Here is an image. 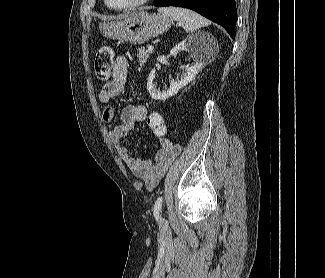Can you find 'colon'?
Here are the masks:
<instances>
[{"label": "colon", "mask_w": 325, "mask_h": 278, "mask_svg": "<svg viewBox=\"0 0 325 278\" xmlns=\"http://www.w3.org/2000/svg\"><path fill=\"white\" fill-rule=\"evenodd\" d=\"M113 51L110 47H101L95 56L94 73L99 81L107 80L112 72ZM147 125L152 133L157 137L166 135V122L163 116L157 112L151 113L147 117Z\"/></svg>", "instance_id": "1"}]
</instances>
